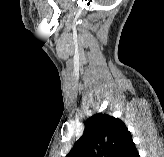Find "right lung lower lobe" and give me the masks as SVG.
I'll return each mask as SVG.
<instances>
[{"mask_svg": "<svg viewBox=\"0 0 164 157\" xmlns=\"http://www.w3.org/2000/svg\"><path fill=\"white\" fill-rule=\"evenodd\" d=\"M119 157H140L132 140L127 144Z\"/></svg>", "mask_w": 164, "mask_h": 157, "instance_id": "98d812e1", "label": "right lung lower lobe"}]
</instances>
